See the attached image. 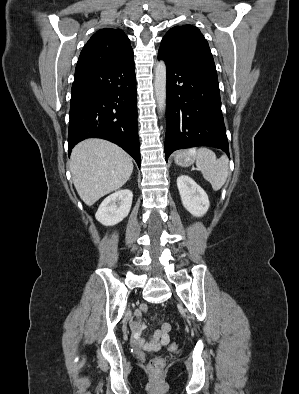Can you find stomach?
<instances>
[{"label":"stomach","instance_id":"1","mask_svg":"<svg viewBox=\"0 0 299 394\" xmlns=\"http://www.w3.org/2000/svg\"><path fill=\"white\" fill-rule=\"evenodd\" d=\"M196 159L195 154L189 152L179 153L175 156V163L180 166H189Z\"/></svg>","mask_w":299,"mask_h":394}]
</instances>
